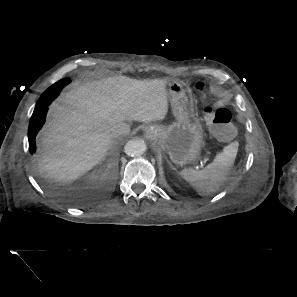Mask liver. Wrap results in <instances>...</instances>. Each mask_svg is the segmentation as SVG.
Returning <instances> with one entry per match:
<instances>
[{
	"instance_id": "liver-1",
	"label": "liver",
	"mask_w": 297,
	"mask_h": 297,
	"mask_svg": "<svg viewBox=\"0 0 297 297\" xmlns=\"http://www.w3.org/2000/svg\"><path fill=\"white\" fill-rule=\"evenodd\" d=\"M167 83L116 76L77 85L50 106L37 139L39 171L68 187L104 159L116 137L114 125L165 118Z\"/></svg>"
}]
</instances>
